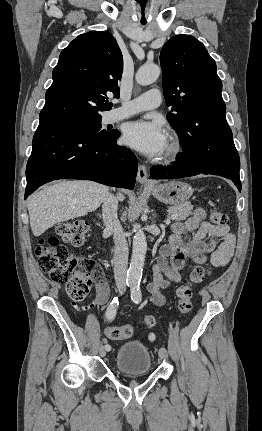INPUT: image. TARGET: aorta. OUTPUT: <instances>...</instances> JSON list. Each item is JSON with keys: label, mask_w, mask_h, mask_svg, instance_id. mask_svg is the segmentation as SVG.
Segmentation results:
<instances>
[{"label": "aorta", "mask_w": 262, "mask_h": 431, "mask_svg": "<svg viewBox=\"0 0 262 431\" xmlns=\"http://www.w3.org/2000/svg\"><path fill=\"white\" fill-rule=\"evenodd\" d=\"M160 75V68L155 64H146L136 73V82L140 85H149L155 82ZM138 231L133 237V249L130 267L127 272V280L133 285H139L147 251V241L143 230L138 226Z\"/></svg>", "instance_id": "aorta-1"}]
</instances>
